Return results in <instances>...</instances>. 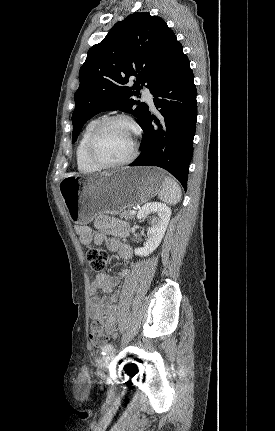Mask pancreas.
<instances>
[{"instance_id": "obj_1", "label": "pancreas", "mask_w": 275, "mask_h": 431, "mask_svg": "<svg viewBox=\"0 0 275 431\" xmlns=\"http://www.w3.org/2000/svg\"><path fill=\"white\" fill-rule=\"evenodd\" d=\"M118 215H119L121 218H124L125 220H130V219H132V218H133V215H131V214L129 213V211H121V212H119V213H118Z\"/></svg>"}]
</instances>
